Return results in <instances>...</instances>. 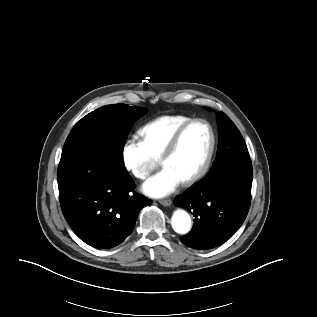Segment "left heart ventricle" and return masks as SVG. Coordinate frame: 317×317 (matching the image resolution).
<instances>
[{
	"mask_svg": "<svg viewBox=\"0 0 317 317\" xmlns=\"http://www.w3.org/2000/svg\"><path fill=\"white\" fill-rule=\"evenodd\" d=\"M210 135L204 124H195L184 134L177 151L167 159L164 167L170 168L181 181L200 167L209 147Z\"/></svg>",
	"mask_w": 317,
	"mask_h": 317,
	"instance_id": "obj_1",
	"label": "left heart ventricle"
}]
</instances>
